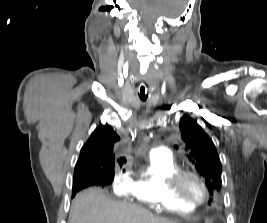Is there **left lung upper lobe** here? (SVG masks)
<instances>
[{
    "instance_id": "5c2ea615",
    "label": "left lung upper lobe",
    "mask_w": 267,
    "mask_h": 223,
    "mask_svg": "<svg viewBox=\"0 0 267 223\" xmlns=\"http://www.w3.org/2000/svg\"><path fill=\"white\" fill-rule=\"evenodd\" d=\"M179 127L189 160L205 180L209 192L219 191L222 183L221 162L212 140L189 116L180 119Z\"/></svg>"
}]
</instances>
